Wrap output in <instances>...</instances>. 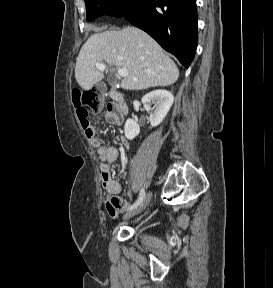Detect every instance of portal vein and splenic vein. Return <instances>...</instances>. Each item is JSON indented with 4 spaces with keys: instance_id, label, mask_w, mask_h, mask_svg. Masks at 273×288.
Listing matches in <instances>:
<instances>
[{
    "instance_id": "18ae733b",
    "label": "portal vein and splenic vein",
    "mask_w": 273,
    "mask_h": 288,
    "mask_svg": "<svg viewBox=\"0 0 273 288\" xmlns=\"http://www.w3.org/2000/svg\"><path fill=\"white\" fill-rule=\"evenodd\" d=\"M107 65L104 63H96V68L100 71H104ZM118 75L120 77H126L128 75V70L126 68H118Z\"/></svg>"
}]
</instances>
